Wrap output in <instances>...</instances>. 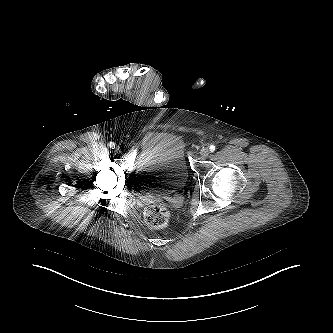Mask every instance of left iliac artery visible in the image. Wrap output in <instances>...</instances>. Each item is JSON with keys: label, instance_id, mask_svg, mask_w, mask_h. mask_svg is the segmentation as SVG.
Masks as SVG:
<instances>
[{"label": "left iliac artery", "instance_id": "44dca946", "mask_svg": "<svg viewBox=\"0 0 333 333\" xmlns=\"http://www.w3.org/2000/svg\"><path fill=\"white\" fill-rule=\"evenodd\" d=\"M215 149H216V147H215L214 145H211V146L209 147L210 152H214Z\"/></svg>", "mask_w": 333, "mask_h": 333}]
</instances>
